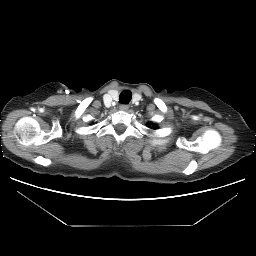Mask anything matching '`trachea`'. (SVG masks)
I'll return each mask as SVG.
<instances>
[{
	"instance_id": "1",
	"label": "trachea",
	"mask_w": 256,
	"mask_h": 256,
	"mask_svg": "<svg viewBox=\"0 0 256 256\" xmlns=\"http://www.w3.org/2000/svg\"><path fill=\"white\" fill-rule=\"evenodd\" d=\"M131 92L128 90L123 91L119 96V102L122 104H128L131 101Z\"/></svg>"
}]
</instances>
